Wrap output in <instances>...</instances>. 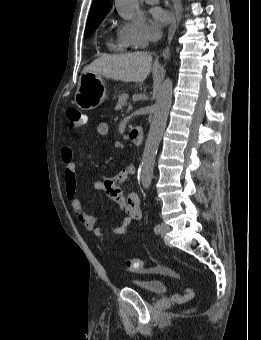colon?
Returning a JSON list of instances; mask_svg holds the SVG:
<instances>
[{"mask_svg": "<svg viewBox=\"0 0 261 340\" xmlns=\"http://www.w3.org/2000/svg\"><path fill=\"white\" fill-rule=\"evenodd\" d=\"M66 117L68 126L73 131L79 130L85 124V116L75 107L67 109ZM126 265L129 270L138 271L142 268L143 262L139 258H130L126 261Z\"/></svg>", "mask_w": 261, "mask_h": 340, "instance_id": "1", "label": "colon"}]
</instances>
